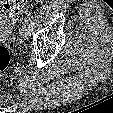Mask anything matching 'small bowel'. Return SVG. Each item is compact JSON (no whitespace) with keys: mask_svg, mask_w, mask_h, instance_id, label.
Listing matches in <instances>:
<instances>
[{"mask_svg":"<svg viewBox=\"0 0 113 113\" xmlns=\"http://www.w3.org/2000/svg\"><path fill=\"white\" fill-rule=\"evenodd\" d=\"M8 25H9V21L5 17H3V15H1L0 16V32H1V29L8 27ZM0 41H1V37H0Z\"/></svg>","mask_w":113,"mask_h":113,"instance_id":"c3829d8e","label":"small bowel"}]
</instances>
